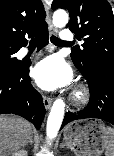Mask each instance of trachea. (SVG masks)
<instances>
[{
	"instance_id": "obj_1",
	"label": "trachea",
	"mask_w": 114,
	"mask_h": 156,
	"mask_svg": "<svg viewBox=\"0 0 114 156\" xmlns=\"http://www.w3.org/2000/svg\"><path fill=\"white\" fill-rule=\"evenodd\" d=\"M51 42L54 43V44H67L68 42H65L55 36H51ZM31 44H37L36 40L34 38L31 39L30 41Z\"/></svg>"
}]
</instances>
